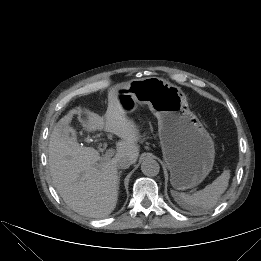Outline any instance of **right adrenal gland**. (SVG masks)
I'll use <instances>...</instances> for the list:
<instances>
[{
  "instance_id": "2a0ac1e0",
  "label": "right adrenal gland",
  "mask_w": 261,
  "mask_h": 261,
  "mask_svg": "<svg viewBox=\"0 0 261 261\" xmlns=\"http://www.w3.org/2000/svg\"><path fill=\"white\" fill-rule=\"evenodd\" d=\"M121 173H122V171H119V172H118V185L120 184Z\"/></svg>"
}]
</instances>
